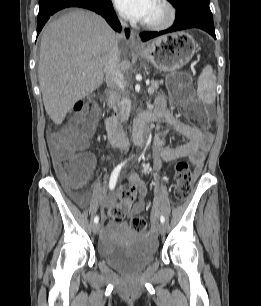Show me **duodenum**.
I'll use <instances>...</instances> for the list:
<instances>
[{"instance_id": "obj_1", "label": "duodenum", "mask_w": 261, "mask_h": 306, "mask_svg": "<svg viewBox=\"0 0 261 306\" xmlns=\"http://www.w3.org/2000/svg\"><path fill=\"white\" fill-rule=\"evenodd\" d=\"M114 101H115V93L110 92L108 94L109 107H112ZM153 120H154V115L152 113H145L135 120L133 125L134 137L138 141L142 140L143 138L145 126L148 123L153 122ZM105 123L110 141L113 144L120 146L121 148H126L127 137L123 131V128L121 127V125L119 124V122L112 113L108 115Z\"/></svg>"}]
</instances>
